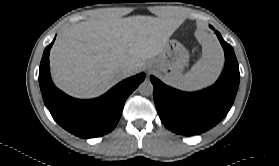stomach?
<instances>
[{
    "instance_id": "1",
    "label": "stomach",
    "mask_w": 279,
    "mask_h": 166,
    "mask_svg": "<svg viewBox=\"0 0 279 166\" xmlns=\"http://www.w3.org/2000/svg\"><path fill=\"white\" fill-rule=\"evenodd\" d=\"M189 61V53L177 40H169L163 51L152 60L156 71L165 75V79L171 82L181 75Z\"/></svg>"
}]
</instances>
